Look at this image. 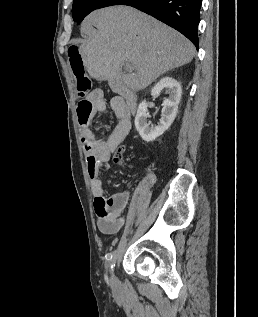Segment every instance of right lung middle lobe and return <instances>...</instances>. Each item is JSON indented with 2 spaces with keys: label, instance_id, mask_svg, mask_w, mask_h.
Returning a JSON list of instances; mask_svg holds the SVG:
<instances>
[{
  "label": "right lung middle lobe",
  "instance_id": "dd1d6c3e",
  "mask_svg": "<svg viewBox=\"0 0 258 317\" xmlns=\"http://www.w3.org/2000/svg\"><path fill=\"white\" fill-rule=\"evenodd\" d=\"M87 1L88 0H74L72 7V17L75 22Z\"/></svg>",
  "mask_w": 258,
  "mask_h": 317
}]
</instances>
